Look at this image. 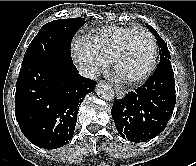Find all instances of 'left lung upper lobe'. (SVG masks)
Returning <instances> with one entry per match:
<instances>
[{"label":"left lung upper lobe","instance_id":"left-lung-upper-lobe-1","mask_svg":"<svg viewBox=\"0 0 196 166\" xmlns=\"http://www.w3.org/2000/svg\"><path fill=\"white\" fill-rule=\"evenodd\" d=\"M147 27L155 35V38L157 40L158 46L160 48V50H159L160 61L165 60V59H170V52H169L164 40L159 36V34L156 32V30L153 27H151L150 25H147Z\"/></svg>","mask_w":196,"mask_h":166}]
</instances>
